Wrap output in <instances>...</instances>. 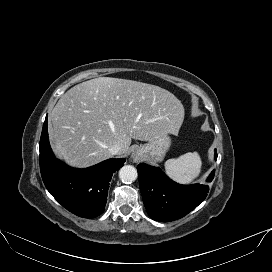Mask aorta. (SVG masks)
I'll return each mask as SVG.
<instances>
[{
  "label": "aorta",
  "instance_id": "762f6f07",
  "mask_svg": "<svg viewBox=\"0 0 272 272\" xmlns=\"http://www.w3.org/2000/svg\"><path fill=\"white\" fill-rule=\"evenodd\" d=\"M137 176V170L132 165H125L119 170V178L124 183H132L137 179Z\"/></svg>",
  "mask_w": 272,
  "mask_h": 272
}]
</instances>
